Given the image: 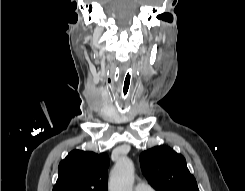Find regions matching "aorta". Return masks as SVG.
<instances>
[{
  "label": "aorta",
  "mask_w": 245,
  "mask_h": 191,
  "mask_svg": "<svg viewBox=\"0 0 245 191\" xmlns=\"http://www.w3.org/2000/svg\"><path fill=\"white\" fill-rule=\"evenodd\" d=\"M134 164L121 157L115 164L109 180V191H133Z\"/></svg>",
  "instance_id": "obj_1"
}]
</instances>
